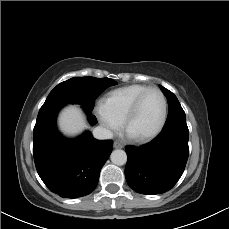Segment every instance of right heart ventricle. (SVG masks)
Returning a JSON list of instances; mask_svg holds the SVG:
<instances>
[{"label": "right heart ventricle", "instance_id": "1", "mask_svg": "<svg viewBox=\"0 0 229 229\" xmlns=\"http://www.w3.org/2000/svg\"><path fill=\"white\" fill-rule=\"evenodd\" d=\"M150 86L132 84L117 88L107 93L103 99L106 111L118 122H122L134 99Z\"/></svg>", "mask_w": 229, "mask_h": 229}]
</instances>
